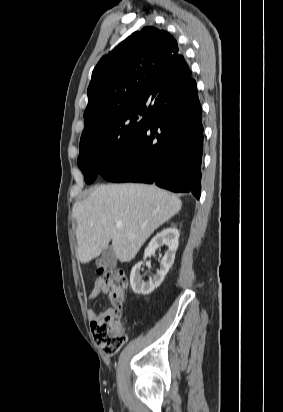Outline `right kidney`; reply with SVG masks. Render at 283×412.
I'll return each mask as SVG.
<instances>
[{
  "mask_svg": "<svg viewBox=\"0 0 283 412\" xmlns=\"http://www.w3.org/2000/svg\"><path fill=\"white\" fill-rule=\"evenodd\" d=\"M178 240L179 232L176 228L164 229L152 238L151 242L145 249L143 258L144 261L153 255L155 251L164 244L168 246V250L162 257L160 261V268L157 270L156 274L153 275V277H150L146 282L140 275V269L143 262L141 261L133 266L130 273V285L134 293L148 295L160 286L174 262L175 252L179 243Z\"/></svg>",
  "mask_w": 283,
  "mask_h": 412,
  "instance_id": "1",
  "label": "right kidney"
}]
</instances>
